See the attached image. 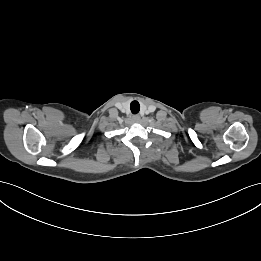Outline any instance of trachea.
Here are the masks:
<instances>
[{"instance_id":"3493384b","label":"trachea","mask_w":261,"mask_h":261,"mask_svg":"<svg viewBox=\"0 0 261 261\" xmlns=\"http://www.w3.org/2000/svg\"><path fill=\"white\" fill-rule=\"evenodd\" d=\"M130 109L133 114H137L140 110V104L138 101H132L130 104Z\"/></svg>"}]
</instances>
